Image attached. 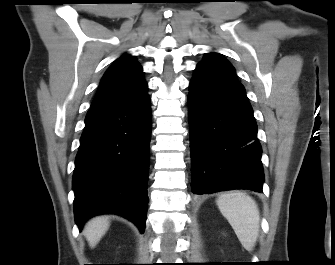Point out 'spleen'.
<instances>
[{
    "mask_svg": "<svg viewBox=\"0 0 335 265\" xmlns=\"http://www.w3.org/2000/svg\"><path fill=\"white\" fill-rule=\"evenodd\" d=\"M216 203L242 246L247 251H252L260 227V214L256 202L244 192L230 191L221 194Z\"/></svg>",
    "mask_w": 335,
    "mask_h": 265,
    "instance_id": "1",
    "label": "spleen"
}]
</instances>
